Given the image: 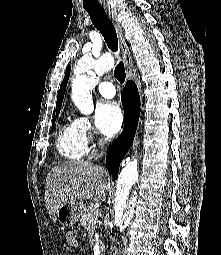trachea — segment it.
I'll return each mask as SVG.
<instances>
[{
  "label": "trachea",
  "instance_id": "trachea-1",
  "mask_svg": "<svg viewBox=\"0 0 221 255\" xmlns=\"http://www.w3.org/2000/svg\"><path fill=\"white\" fill-rule=\"evenodd\" d=\"M89 13L90 19L95 25V27L100 31L102 36L107 43V46L113 52L118 50V38L116 34L115 27L109 17L106 15L104 9H89L86 8ZM114 76L119 81L120 84L124 83L126 73L122 62L115 67Z\"/></svg>",
  "mask_w": 221,
  "mask_h": 255
}]
</instances>
